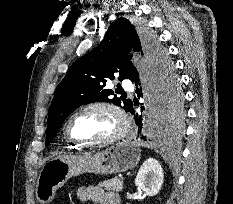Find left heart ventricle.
<instances>
[{
	"label": "left heart ventricle",
	"mask_w": 233,
	"mask_h": 204,
	"mask_svg": "<svg viewBox=\"0 0 233 204\" xmlns=\"http://www.w3.org/2000/svg\"><path fill=\"white\" fill-rule=\"evenodd\" d=\"M119 128L113 113L103 109H93L76 116L71 125V134L85 140H103L113 135Z\"/></svg>",
	"instance_id": "left-heart-ventricle-1"
}]
</instances>
